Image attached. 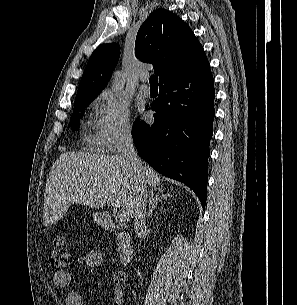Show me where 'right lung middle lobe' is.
<instances>
[{"instance_id":"dd1d6c3e","label":"right lung middle lobe","mask_w":297,"mask_h":305,"mask_svg":"<svg viewBox=\"0 0 297 305\" xmlns=\"http://www.w3.org/2000/svg\"><path fill=\"white\" fill-rule=\"evenodd\" d=\"M96 96H92V97H87L81 100H78L75 102L74 105V110H73V116L71 117V129L73 131L78 130L79 129V122H80V118L83 117L84 112H82L81 114H79V112L81 110H83L84 108H86L88 106V104H90V102L95 98Z\"/></svg>"}]
</instances>
